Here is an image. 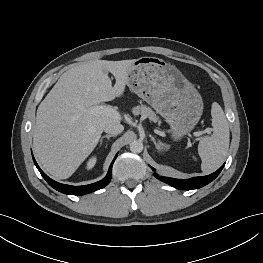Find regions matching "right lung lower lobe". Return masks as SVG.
<instances>
[{"instance_id": "right-lung-lower-lobe-1", "label": "right lung lower lobe", "mask_w": 263, "mask_h": 263, "mask_svg": "<svg viewBox=\"0 0 263 263\" xmlns=\"http://www.w3.org/2000/svg\"><path fill=\"white\" fill-rule=\"evenodd\" d=\"M117 157V156H116ZM116 157L114 158V160L116 159ZM114 160L112 161L108 173L105 176V178H103L102 180L93 183V184H89V185H84V186H71V185H65V184H61L58 183L54 180H52L51 178H49L38 166V164L36 163L34 157H33V161L36 165V167L38 168V170L40 171L41 175L43 176V178L47 181V183L53 187L54 189H56L59 192H62L64 194H71V195H84V194H88L91 192H94L96 190H99L103 187H105L106 185H108V183L111 180L112 177V165L114 163Z\"/></svg>"}]
</instances>
